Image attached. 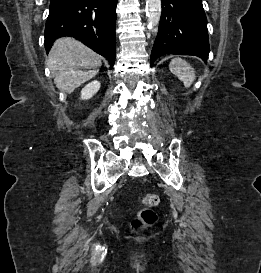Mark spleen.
Returning a JSON list of instances; mask_svg holds the SVG:
<instances>
[{"label": "spleen", "instance_id": "3e777b00", "mask_svg": "<svg viewBox=\"0 0 261 273\" xmlns=\"http://www.w3.org/2000/svg\"><path fill=\"white\" fill-rule=\"evenodd\" d=\"M170 71L189 88L195 80L194 68L181 58L173 59L169 64Z\"/></svg>", "mask_w": 261, "mask_h": 273}]
</instances>
